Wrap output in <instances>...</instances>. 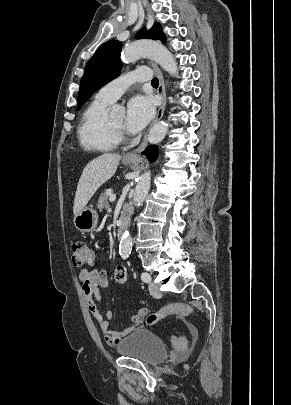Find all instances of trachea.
Here are the masks:
<instances>
[{
  "instance_id": "3493384b",
  "label": "trachea",
  "mask_w": 291,
  "mask_h": 405,
  "mask_svg": "<svg viewBox=\"0 0 291 405\" xmlns=\"http://www.w3.org/2000/svg\"><path fill=\"white\" fill-rule=\"evenodd\" d=\"M151 84H152V85H155V86H158V85H159L158 79H157V78H153L152 81H151Z\"/></svg>"
}]
</instances>
